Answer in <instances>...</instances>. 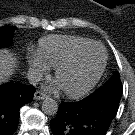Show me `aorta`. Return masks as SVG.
Listing matches in <instances>:
<instances>
[{
	"mask_svg": "<svg viewBox=\"0 0 135 135\" xmlns=\"http://www.w3.org/2000/svg\"><path fill=\"white\" fill-rule=\"evenodd\" d=\"M42 111L47 115H55L58 111V103L52 98H46L42 102Z\"/></svg>",
	"mask_w": 135,
	"mask_h": 135,
	"instance_id": "762f6f07",
	"label": "aorta"
}]
</instances>
